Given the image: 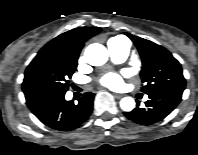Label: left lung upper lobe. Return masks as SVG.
Returning a JSON list of instances; mask_svg holds the SVG:
<instances>
[{"label": "left lung upper lobe", "instance_id": "5c2ea615", "mask_svg": "<svg viewBox=\"0 0 198 155\" xmlns=\"http://www.w3.org/2000/svg\"><path fill=\"white\" fill-rule=\"evenodd\" d=\"M136 45L142 58L140 76L145 86L142 91L148 95L159 92L182 94L186 80L180 63L162 46L149 40L125 33Z\"/></svg>", "mask_w": 198, "mask_h": 155}]
</instances>
